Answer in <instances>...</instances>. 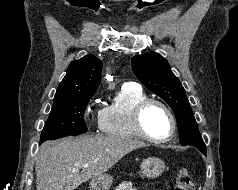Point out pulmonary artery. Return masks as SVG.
<instances>
[{
    "label": "pulmonary artery",
    "instance_id": "obj_1",
    "mask_svg": "<svg viewBox=\"0 0 238 190\" xmlns=\"http://www.w3.org/2000/svg\"><path fill=\"white\" fill-rule=\"evenodd\" d=\"M138 85L134 82H126L123 84V87H137Z\"/></svg>",
    "mask_w": 238,
    "mask_h": 190
}]
</instances>
